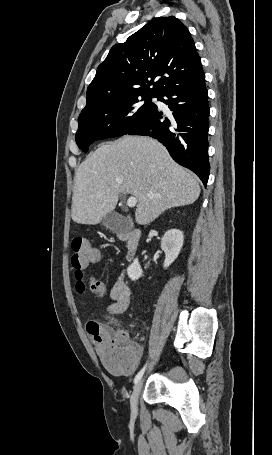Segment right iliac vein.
I'll use <instances>...</instances> for the list:
<instances>
[{
    "instance_id": "1",
    "label": "right iliac vein",
    "mask_w": 272,
    "mask_h": 455,
    "mask_svg": "<svg viewBox=\"0 0 272 455\" xmlns=\"http://www.w3.org/2000/svg\"><path fill=\"white\" fill-rule=\"evenodd\" d=\"M143 386V379L139 380L137 384L134 387L132 396H131V410L133 413L137 412V405H138V399L141 393V389Z\"/></svg>"
}]
</instances>
